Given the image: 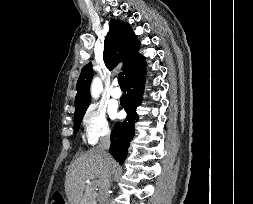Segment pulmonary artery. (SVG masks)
Listing matches in <instances>:
<instances>
[{
  "instance_id": "pulmonary-artery-1",
  "label": "pulmonary artery",
  "mask_w": 253,
  "mask_h": 204,
  "mask_svg": "<svg viewBox=\"0 0 253 204\" xmlns=\"http://www.w3.org/2000/svg\"><path fill=\"white\" fill-rule=\"evenodd\" d=\"M121 94H122L121 89L118 87V84H117V82L115 81V82H114V88H113L112 91H111V95H112V97H114V98H120V97H121Z\"/></svg>"
}]
</instances>
